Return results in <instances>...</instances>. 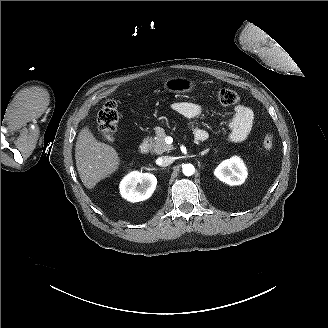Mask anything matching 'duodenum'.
I'll return each instance as SVG.
<instances>
[{"mask_svg": "<svg viewBox=\"0 0 328 328\" xmlns=\"http://www.w3.org/2000/svg\"><path fill=\"white\" fill-rule=\"evenodd\" d=\"M195 138L198 141H203V140H205L206 136L205 135H197V136H195ZM149 147H150L149 140L145 139L140 143L138 149L141 154H146L149 151Z\"/></svg>", "mask_w": 328, "mask_h": 328, "instance_id": "duodenum-1", "label": "duodenum"}]
</instances>
